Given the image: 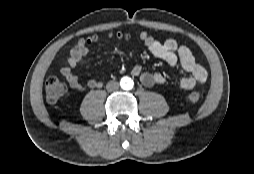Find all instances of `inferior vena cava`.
<instances>
[{
	"label": "inferior vena cava",
	"mask_w": 254,
	"mask_h": 174,
	"mask_svg": "<svg viewBox=\"0 0 254 174\" xmlns=\"http://www.w3.org/2000/svg\"><path fill=\"white\" fill-rule=\"evenodd\" d=\"M106 89H107V91H115V90L119 89V83L116 81H110L107 83Z\"/></svg>",
	"instance_id": "obj_1"
}]
</instances>
